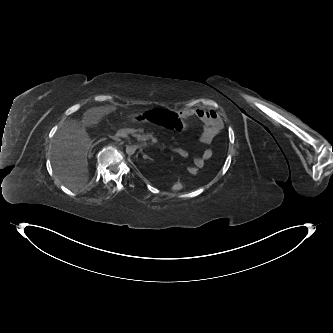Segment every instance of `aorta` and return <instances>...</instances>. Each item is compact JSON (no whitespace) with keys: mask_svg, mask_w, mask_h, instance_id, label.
Returning <instances> with one entry per match:
<instances>
[{"mask_svg":"<svg viewBox=\"0 0 333 333\" xmlns=\"http://www.w3.org/2000/svg\"><path fill=\"white\" fill-rule=\"evenodd\" d=\"M136 147L135 146H127L126 147V153L128 155H133L135 153Z\"/></svg>","mask_w":333,"mask_h":333,"instance_id":"obj_1","label":"aorta"}]
</instances>
